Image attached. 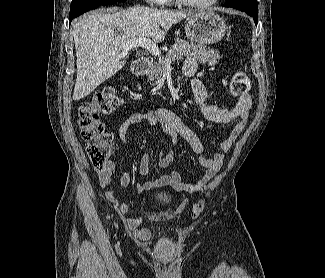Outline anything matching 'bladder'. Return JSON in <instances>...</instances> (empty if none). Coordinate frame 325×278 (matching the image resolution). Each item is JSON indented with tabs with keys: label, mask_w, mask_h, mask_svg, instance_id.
Returning a JSON list of instances; mask_svg holds the SVG:
<instances>
[{
	"label": "bladder",
	"mask_w": 325,
	"mask_h": 278,
	"mask_svg": "<svg viewBox=\"0 0 325 278\" xmlns=\"http://www.w3.org/2000/svg\"><path fill=\"white\" fill-rule=\"evenodd\" d=\"M171 198V195L167 192H159L155 195V200L159 203H167Z\"/></svg>",
	"instance_id": "1"
}]
</instances>
